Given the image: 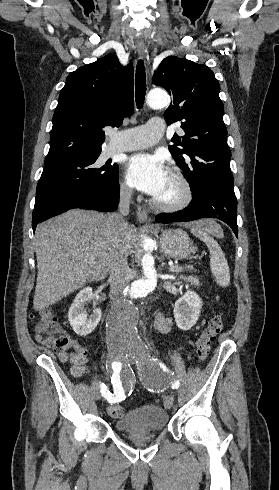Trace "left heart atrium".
Here are the masks:
<instances>
[{"label": "left heart atrium", "mask_w": 279, "mask_h": 490, "mask_svg": "<svg viewBox=\"0 0 279 490\" xmlns=\"http://www.w3.org/2000/svg\"><path fill=\"white\" fill-rule=\"evenodd\" d=\"M128 182L142 192L159 199L165 193L169 173L160 156L140 153L126 162Z\"/></svg>", "instance_id": "left-heart-atrium-1"}]
</instances>
